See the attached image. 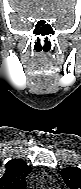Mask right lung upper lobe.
Masks as SVG:
<instances>
[{
  "mask_svg": "<svg viewBox=\"0 0 81 189\" xmlns=\"http://www.w3.org/2000/svg\"><path fill=\"white\" fill-rule=\"evenodd\" d=\"M32 168L21 159H12L6 163V171L0 178V189H26L25 177Z\"/></svg>",
  "mask_w": 81,
  "mask_h": 189,
  "instance_id": "cb5924a9",
  "label": "right lung upper lobe"
}]
</instances>
